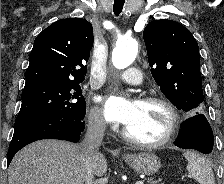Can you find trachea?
I'll list each match as a JSON object with an SVG mask.
<instances>
[{
  "instance_id": "3493384b",
  "label": "trachea",
  "mask_w": 224,
  "mask_h": 184,
  "mask_svg": "<svg viewBox=\"0 0 224 184\" xmlns=\"http://www.w3.org/2000/svg\"><path fill=\"white\" fill-rule=\"evenodd\" d=\"M124 3H125V0H114L113 11L116 16H118L121 13Z\"/></svg>"
}]
</instances>
